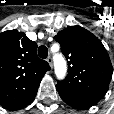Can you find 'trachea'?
Segmentation results:
<instances>
[{"instance_id":"3493384b","label":"trachea","mask_w":114,"mask_h":114,"mask_svg":"<svg viewBox=\"0 0 114 114\" xmlns=\"http://www.w3.org/2000/svg\"><path fill=\"white\" fill-rule=\"evenodd\" d=\"M38 55H39L40 58H43V59L47 58V56H48V49H47V47L44 46V45L40 46L38 48Z\"/></svg>"}]
</instances>
